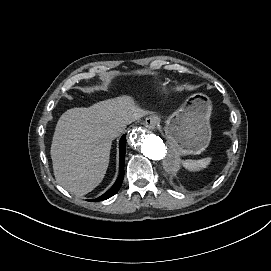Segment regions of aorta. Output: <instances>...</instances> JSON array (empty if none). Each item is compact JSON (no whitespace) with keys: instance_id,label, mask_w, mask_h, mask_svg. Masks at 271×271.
I'll return each instance as SVG.
<instances>
[{"instance_id":"762f6f07","label":"aorta","mask_w":271,"mask_h":271,"mask_svg":"<svg viewBox=\"0 0 271 271\" xmlns=\"http://www.w3.org/2000/svg\"><path fill=\"white\" fill-rule=\"evenodd\" d=\"M128 144L145 157L162 161L170 172L176 171L178 166L183 164L178 159L182 152L175 145L164 143L159 136L149 133L143 127H136L131 130Z\"/></svg>"}]
</instances>
